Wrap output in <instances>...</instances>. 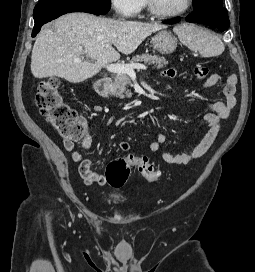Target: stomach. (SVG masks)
Returning a JSON list of instances; mask_svg holds the SVG:
<instances>
[{
	"mask_svg": "<svg viewBox=\"0 0 255 272\" xmlns=\"http://www.w3.org/2000/svg\"><path fill=\"white\" fill-rule=\"evenodd\" d=\"M151 43L159 53L168 55L175 51L177 38L170 31L162 30L152 37Z\"/></svg>",
	"mask_w": 255,
	"mask_h": 272,
	"instance_id": "obj_1",
	"label": "stomach"
}]
</instances>
